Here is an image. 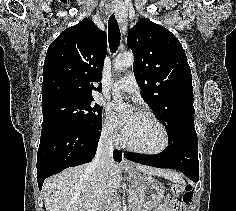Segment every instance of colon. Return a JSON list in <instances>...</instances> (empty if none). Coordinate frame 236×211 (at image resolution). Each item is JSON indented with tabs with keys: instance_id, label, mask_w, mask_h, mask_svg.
I'll use <instances>...</instances> for the list:
<instances>
[{
	"instance_id": "1",
	"label": "colon",
	"mask_w": 236,
	"mask_h": 211,
	"mask_svg": "<svg viewBox=\"0 0 236 211\" xmlns=\"http://www.w3.org/2000/svg\"><path fill=\"white\" fill-rule=\"evenodd\" d=\"M170 191L181 196V201L184 205L191 203L193 199V188L189 184L174 183L170 185Z\"/></svg>"
}]
</instances>
